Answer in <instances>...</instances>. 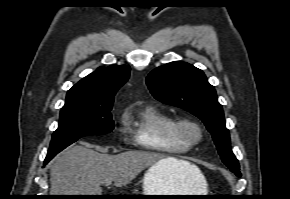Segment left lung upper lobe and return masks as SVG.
I'll return each mask as SVG.
<instances>
[{
    "label": "left lung upper lobe",
    "instance_id": "1",
    "mask_svg": "<svg viewBox=\"0 0 290 199\" xmlns=\"http://www.w3.org/2000/svg\"><path fill=\"white\" fill-rule=\"evenodd\" d=\"M146 83L158 101L200 118L211 133L222 161L230 169H239L231 150L222 106L202 70L186 62H171L154 69Z\"/></svg>",
    "mask_w": 290,
    "mask_h": 199
}]
</instances>
